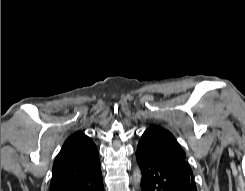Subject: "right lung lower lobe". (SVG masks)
Returning a JSON list of instances; mask_svg holds the SVG:
<instances>
[{
  "mask_svg": "<svg viewBox=\"0 0 245 191\" xmlns=\"http://www.w3.org/2000/svg\"><path fill=\"white\" fill-rule=\"evenodd\" d=\"M60 191H104L101 168L89 177L63 187Z\"/></svg>",
  "mask_w": 245,
  "mask_h": 191,
  "instance_id": "obj_1",
  "label": "right lung lower lobe"
}]
</instances>
